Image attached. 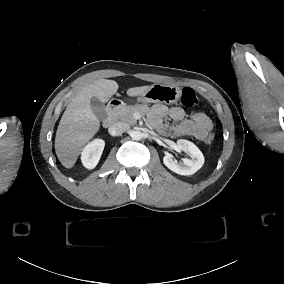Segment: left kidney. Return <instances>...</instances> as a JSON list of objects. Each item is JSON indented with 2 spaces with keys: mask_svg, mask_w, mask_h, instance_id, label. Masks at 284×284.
<instances>
[{
  "mask_svg": "<svg viewBox=\"0 0 284 284\" xmlns=\"http://www.w3.org/2000/svg\"><path fill=\"white\" fill-rule=\"evenodd\" d=\"M179 150L189 154L190 158H183L181 163H176V159L170 155L163 157V163L171 171L184 176L195 174L202 168L205 158L200 149L191 141L179 139L176 142Z\"/></svg>",
  "mask_w": 284,
  "mask_h": 284,
  "instance_id": "left-kidney-1",
  "label": "left kidney"
}]
</instances>
